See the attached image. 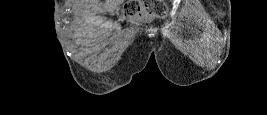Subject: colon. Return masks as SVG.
<instances>
[{
  "label": "colon",
  "instance_id": "1",
  "mask_svg": "<svg viewBox=\"0 0 267 115\" xmlns=\"http://www.w3.org/2000/svg\"><path fill=\"white\" fill-rule=\"evenodd\" d=\"M140 2L139 1H130L128 2L124 7V14L126 17H132L136 13L139 12L140 8ZM148 9H150L153 13H155L157 16L163 17L167 13V6L162 1H157L154 3H147L145 5Z\"/></svg>",
  "mask_w": 267,
  "mask_h": 115
}]
</instances>
